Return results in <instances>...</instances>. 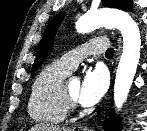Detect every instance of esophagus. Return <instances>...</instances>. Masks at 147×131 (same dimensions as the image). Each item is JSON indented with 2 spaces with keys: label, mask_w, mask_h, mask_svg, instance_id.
<instances>
[{
  "label": "esophagus",
  "mask_w": 147,
  "mask_h": 131,
  "mask_svg": "<svg viewBox=\"0 0 147 131\" xmlns=\"http://www.w3.org/2000/svg\"><path fill=\"white\" fill-rule=\"evenodd\" d=\"M120 51H121V38L117 37V49L115 54V61L117 62L120 57Z\"/></svg>",
  "instance_id": "1"
}]
</instances>
